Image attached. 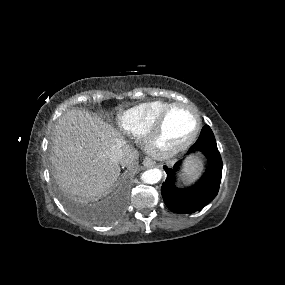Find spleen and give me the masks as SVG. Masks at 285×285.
Listing matches in <instances>:
<instances>
[{"mask_svg":"<svg viewBox=\"0 0 285 285\" xmlns=\"http://www.w3.org/2000/svg\"><path fill=\"white\" fill-rule=\"evenodd\" d=\"M201 161L198 158L192 157L189 161L186 162L185 166L183 167V178L186 181L194 180L199 173L201 168Z\"/></svg>","mask_w":285,"mask_h":285,"instance_id":"1","label":"spleen"}]
</instances>
